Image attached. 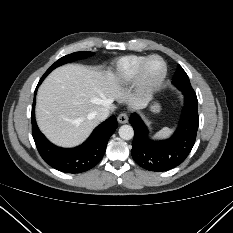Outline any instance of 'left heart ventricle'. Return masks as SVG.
Instances as JSON below:
<instances>
[{"label":"left heart ventricle","instance_id":"b2bd125f","mask_svg":"<svg viewBox=\"0 0 233 233\" xmlns=\"http://www.w3.org/2000/svg\"><path fill=\"white\" fill-rule=\"evenodd\" d=\"M162 71H163V64L160 60L158 59L150 60L146 70V74L148 78L156 79L161 75Z\"/></svg>","mask_w":233,"mask_h":233}]
</instances>
